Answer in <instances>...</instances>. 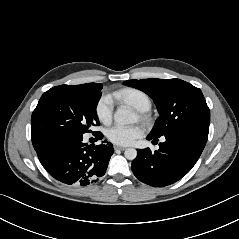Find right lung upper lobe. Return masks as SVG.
<instances>
[{
  "mask_svg": "<svg viewBox=\"0 0 239 239\" xmlns=\"http://www.w3.org/2000/svg\"><path fill=\"white\" fill-rule=\"evenodd\" d=\"M85 86H91V87H103L102 84L98 83H89V84H83Z\"/></svg>",
  "mask_w": 239,
  "mask_h": 239,
  "instance_id": "obj_1",
  "label": "right lung upper lobe"
}]
</instances>
